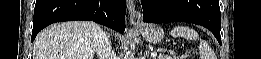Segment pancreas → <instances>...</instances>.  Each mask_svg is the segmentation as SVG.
Wrapping results in <instances>:
<instances>
[{
	"instance_id": "1",
	"label": "pancreas",
	"mask_w": 261,
	"mask_h": 59,
	"mask_svg": "<svg viewBox=\"0 0 261 59\" xmlns=\"http://www.w3.org/2000/svg\"><path fill=\"white\" fill-rule=\"evenodd\" d=\"M154 59H175V58L171 57L170 55L159 54L157 57H154Z\"/></svg>"
}]
</instances>
